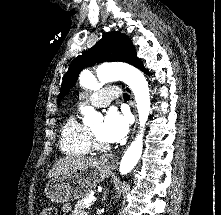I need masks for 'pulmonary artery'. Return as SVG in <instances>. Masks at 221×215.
I'll list each match as a JSON object with an SVG mask.
<instances>
[{
  "label": "pulmonary artery",
  "mask_w": 221,
  "mask_h": 215,
  "mask_svg": "<svg viewBox=\"0 0 221 215\" xmlns=\"http://www.w3.org/2000/svg\"><path fill=\"white\" fill-rule=\"evenodd\" d=\"M120 89L115 86L104 87L100 90L93 92L88 101L96 107H105L107 106L113 99H116L120 96Z\"/></svg>",
  "instance_id": "obj_1"
}]
</instances>
